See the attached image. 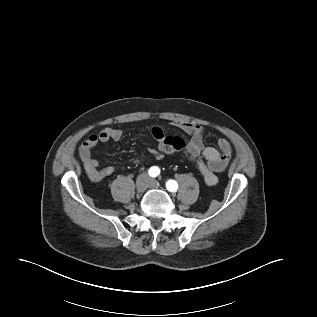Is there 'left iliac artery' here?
<instances>
[{
	"label": "left iliac artery",
	"instance_id": "obj_1",
	"mask_svg": "<svg viewBox=\"0 0 317 317\" xmlns=\"http://www.w3.org/2000/svg\"><path fill=\"white\" fill-rule=\"evenodd\" d=\"M166 187L169 191L174 192L178 189V184L175 180H168L166 182Z\"/></svg>",
	"mask_w": 317,
	"mask_h": 317
}]
</instances>
